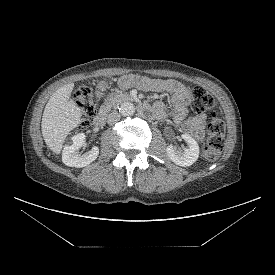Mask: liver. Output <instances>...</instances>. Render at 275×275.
<instances>
[{
    "instance_id": "obj_1",
    "label": "liver",
    "mask_w": 275,
    "mask_h": 275,
    "mask_svg": "<svg viewBox=\"0 0 275 275\" xmlns=\"http://www.w3.org/2000/svg\"><path fill=\"white\" fill-rule=\"evenodd\" d=\"M73 87V83H70L55 91L43 112L42 135L48 148L56 154L61 152L70 131L83 121L80 107L70 99Z\"/></svg>"
}]
</instances>
